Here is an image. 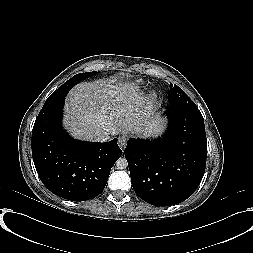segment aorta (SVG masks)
Listing matches in <instances>:
<instances>
[{
    "mask_svg": "<svg viewBox=\"0 0 253 253\" xmlns=\"http://www.w3.org/2000/svg\"><path fill=\"white\" fill-rule=\"evenodd\" d=\"M128 166V162L126 160V158L124 157H120L117 161H116V167L117 169H126Z\"/></svg>",
    "mask_w": 253,
    "mask_h": 253,
    "instance_id": "aorta-1",
    "label": "aorta"
}]
</instances>
